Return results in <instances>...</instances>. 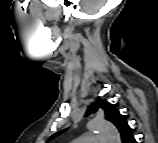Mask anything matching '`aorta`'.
Here are the masks:
<instances>
[{"label":"aorta","mask_w":158,"mask_h":143,"mask_svg":"<svg viewBox=\"0 0 158 143\" xmlns=\"http://www.w3.org/2000/svg\"><path fill=\"white\" fill-rule=\"evenodd\" d=\"M87 127L93 132L102 134L108 143H121V137L117 128L103 118L96 117L92 119Z\"/></svg>","instance_id":"762f6f07"}]
</instances>
